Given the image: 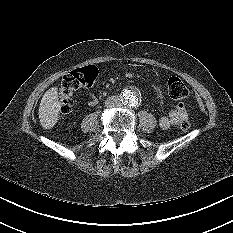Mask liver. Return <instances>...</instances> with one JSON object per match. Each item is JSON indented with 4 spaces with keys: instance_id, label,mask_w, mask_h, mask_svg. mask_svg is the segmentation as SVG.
I'll return each instance as SVG.
<instances>
[{
    "instance_id": "liver-1",
    "label": "liver",
    "mask_w": 233,
    "mask_h": 233,
    "mask_svg": "<svg viewBox=\"0 0 233 233\" xmlns=\"http://www.w3.org/2000/svg\"><path fill=\"white\" fill-rule=\"evenodd\" d=\"M61 111V103L58 98L57 87L48 89L40 103L39 119L43 128L51 129L58 121L59 113Z\"/></svg>"
}]
</instances>
